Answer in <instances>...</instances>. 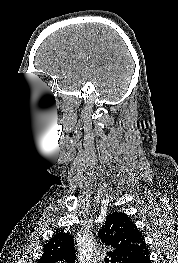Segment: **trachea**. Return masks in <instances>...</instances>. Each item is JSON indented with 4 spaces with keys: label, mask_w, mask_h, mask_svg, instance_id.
Instances as JSON below:
<instances>
[{
    "label": "trachea",
    "mask_w": 178,
    "mask_h": 263,
    "mask_svg": "<svg viewBox=\"0 0 178 263\" xmlns=\"http://www.w3.org/2000/svg\"><path fill=\"white\" fill-rule=\"evenodd\" d=\"M105 263H109V259L108 258L105 259Z\"/></svg>",
    "instance_id": "1"
}]
</instances>
